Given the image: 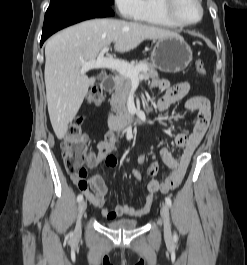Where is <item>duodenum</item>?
<instances>
[{
    "mask_svg": "<svg viewBox=\"0 0 247 265\" xmlns=\"http://www.w3.org/2000/svg\"><path fill=\"white\" fill-rule=\"evenodd\" d=\"M115 77L113 75H106L102 81V88L110 90L115 84ZM143 120L140 116H129L123 114H112L108 118L109 127L113 131H121L134 124H142Z\"/></svg>",
    "mask_w": 247,
    "mask_h": 265,
    "instance_id": "1",
    "label": "duodenum"
}]
</instances>
